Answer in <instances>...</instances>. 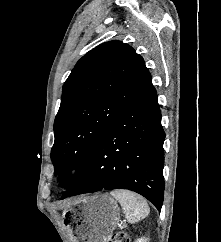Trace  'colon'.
<instances>
[{
  "mask_svg": "<svg viewBox=\"0 0 221 242\" xmlns=\"http://www.w3.org/2000/svg\"><path fill=\"white\" fill-rule=\"evenodd\" d=\"M110 242H130V237L126 232L118 231L112 235Z\"/></svg>",
  "mask_w": 221,
  "mask_h": 242,
  "instance_id": "1",
  "label": "colon"
}]
</instances>
